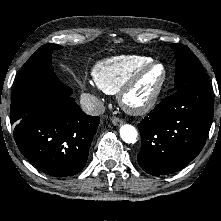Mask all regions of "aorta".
<instances>
[{
    "instance_id": "762f6f07",
    "label": "aorta",
    "mask_w": 221,
    "mask_h": 221,
    "mask_svg": "<svg viewBox=\"0 0 221 221\" xmlns=\"http://www.w3.org/2000/svg\"><path fill=\"white\" fill-rule=\"evenodd\" d=\"M120 136L126 143H135L137 139V130L130 124H124L120 127Z\"/></svg>"
}]
</instances>
